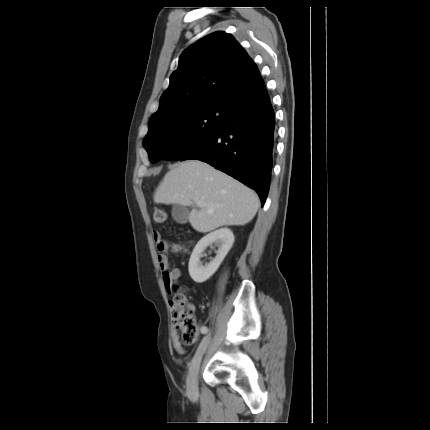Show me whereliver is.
<instances>
[{
	"label": "liver",
	"instance_id": "liver-1",
	"mask_svg": "<svg viewBox=\"0 0 430 430\" xmlns=\"http://www.w3.org/2000/svg\"><path fill=\"white\" fill-rule=\"evenodd\" d=\"M204 205L189 214L191 226L206 233L221 226L245 225L255 216L259 199L242 183L200 160L180 162L163 178L154 202L191 206L194 200Z\"/></svg>",
	"mask_w": 430,
	"mask_h": 430
}]
</instances>
